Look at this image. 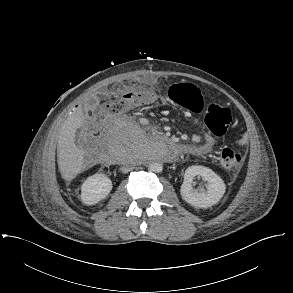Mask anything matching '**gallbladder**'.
Returning <instances> with one entry per match:
<instances>
[{"instance_id": "obj_1", "label": "gallbladder", "mask_w": 293, "mask_h": 293, "mask_svg": "<svg viewBox=\"0 0 293 293\" xmlns=\"http://www.w3.org/2000/svg\"><path fill=\"white\" fill-rule=\"evenodd\" d=\"M95 104V100L94 99H89L88 101V106L91 107Z\"/></svg>"}]
</instances>
